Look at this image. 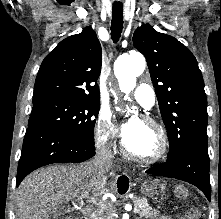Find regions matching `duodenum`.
<instances>
[{
	"label": "duodenum",
	"instance_id": "410a0bca",
	"mask_svg": "<svg viewBox=\"0 0 221 219\" xmlns=\"http://www.w3.org/2000/svg\"><path fill=\"white\" fill-rule=\"evenodd\" d=\"M76 215H77L78 219H82L84 216L83 211H79ZM71 219H73V218H71Z\"/></svg>",
	"mask_w": 221,
	"mask_h": 219
}]
</instances>
